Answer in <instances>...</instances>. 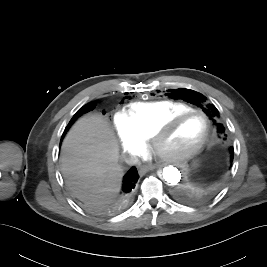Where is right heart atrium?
<instances>
[{
    "label": "right heart atrium",
    "mask_w": 267,
    "mask_h": 267,
    "mask_svg": "<svg viewBox=\"0 0 267 267\" xmlns=\"http://www.w3.org/2000/svg\"><path fill=\"white\" fill-rule=\"evenodd\" d=\"M113 122L122 150L131 160H136L145 151V139L129 124L123 112L116 113Z\"/></svg>",
    "instance_id": "1"
}]
</instances>
